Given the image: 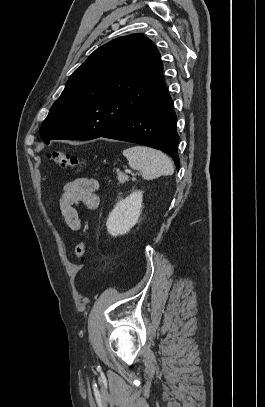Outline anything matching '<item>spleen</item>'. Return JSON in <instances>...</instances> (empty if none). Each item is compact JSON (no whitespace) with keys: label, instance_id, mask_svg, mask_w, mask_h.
<instances>
[{"label":"spleen","instance_id":"spleen-1","mask_svg":"<svg viewBox=\"0 0 265 407\" xmlns=\"http://www.w3.org/2000/svg\"><path fill=\"white\" fill-rule=\"evenodd\" d=\"M129 166L140 170L142 177L147 180L174 173L170 158L156 149L146 146H134L123 151Z\"/></svg>","mask_w":265,"mask_h":407}]
</instances>
